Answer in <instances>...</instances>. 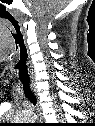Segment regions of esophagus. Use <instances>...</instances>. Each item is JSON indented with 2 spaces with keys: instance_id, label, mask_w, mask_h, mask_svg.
Masks as SVG:
<instances>
[{
  "instance_id": "34e87169",
  "label": "esophagus",
  "mask_w": 95,
  "mask_h": 126,
  "mask_svg": "<svg viewBox=\"0 0 95 126\" xmlns=\"http://www.w3.org/2000/svg\"><path fill=\"white\" fill-rule=\"evenodd\" d=\"M31 88H32L35 96L37 97V99H39L38 98V91H37V88L35 87V85H32ZM37 112H38V116H39V121L41 123H43L44 122V116H43L42 107H41L39 101L37 103Z\"/></svg>"
}]
</instances>
